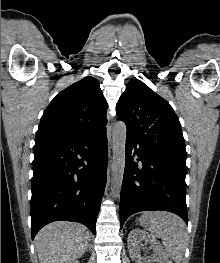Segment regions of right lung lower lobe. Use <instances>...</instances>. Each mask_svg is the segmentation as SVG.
Masks as SVG:
<instances>
[{"instance_id":"obj_1","label":"right lung lower lobe","mask_w":220,"mask_h":263,"mask_svg":"<svg viewBox=\"0 0 220 263\" xmlns=\"http://www.w3.org/2000/svg\"><path fill=\"white\" fill-rule=\"evenodd\" d=\"M106 130L93 136L34 146L31 235L46 224L79 222L95 234L106 185Z\"/></svg>"}]
</instances>
